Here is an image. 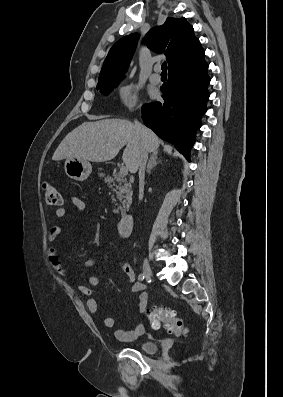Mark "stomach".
<instances>
[{
    "label": "stomach",
    "mask_w": 283,
    "mask_h": 397,
    "mask_svg": "<svg viewBox=\"0 0 283 397\" xmlns=\"http://www.w3.org/2000/svg\"><path fill=\"white\" fill-rule=\"evenodd\" d=\"M64 169L68 177L77 181H84L90 175L92 166L87 160L70 157L66 159Z\"/></svg>",
    "instance_id": "stomach-1"
}]
</instances>
